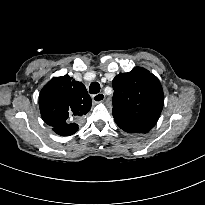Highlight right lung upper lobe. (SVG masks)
Listing matches in <instances>:
<instances>
[{
    "instance_id": "obj_1",
    "label": "right lung upper lobe",
    "mask_w": 205,
    "mask_h": 205,
    "mask_svg": "<svg viewBox=\"0 0 205 205\" xmlns=\"http://www.w3.org/2000/svg\"><path fill=\"white\" fill-rule=\"evenodd\" d=\"M91 104L85 86L68 75L54 77L39 95L42 119L61 136L72 135L78 130L75 121L89 112Z\"/></svg>"
}]
</instances>
